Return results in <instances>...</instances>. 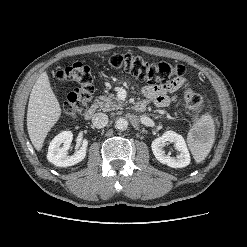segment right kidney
<instances>
[{
  "label": "right kidney",
  "mask_w": 247,
  "mask_h": 247,
  "mask_svg": "<svg viewBox=\"0 0 247 247\" xmlns=\"http://www.w3.org/2000/svg\"><path fill=\"white\" fill-rule=\"evenodd\" d=\"M72 139L73 134L71 131H63L55 136L48 148V161L59 167H68L81 162L86 156L88 141L84 139L81 148L69 156L67 150L70 147Z\"/></svg>",
  "instance_id": "1"
}]
</instances>
